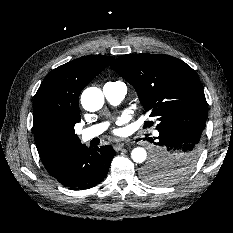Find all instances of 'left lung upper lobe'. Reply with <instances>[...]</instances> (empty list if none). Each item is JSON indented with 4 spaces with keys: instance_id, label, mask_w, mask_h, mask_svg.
<instances>
[{
    "instance_id": "left-lung-upper-lobe-1",
    "label": "left lung upper lobe",
    "mask_w": 233,
    "mask_h": 233,
    "mask_svg": "<svg viewBox=\"0 0 233 233\" xmlns=\"http://www.w3.org/2000/svg\"><path fill=\"white\" fill-rule=\"evenodd\" d=\"M111 68L137 91L145 112L158 120L157 129L177 123L205 124L208 109L201 82L185 62L163 54H128L117 58ZM196 162L182 160L169 167L152 160L142 177L156 184H174L188 175Z\"/></svg>"
}]
</instances>
